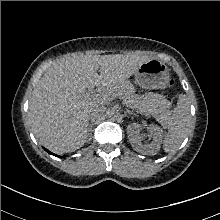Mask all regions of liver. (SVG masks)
<instances>
[{
    "instance_id": "6515ba94",
    "label": "liver",
    "mask_w": 220,
    "mask_h": 220,
    "mask_svg": "<svg viewBox=\"0 0 220 220\" xmlns=\"http://www.w3.org/2000/svg\"><path fill=\"white\" fill-rule=\"evenodd\" d=\"M146 61V57L133 54H81L61 59L33 90L29 105L33 133L55 152L81 148L87 139L91 110L117 95L126 79ZM94 87L98 88L97 96L86 97Z\"/></svg>"
}]
</instances>
